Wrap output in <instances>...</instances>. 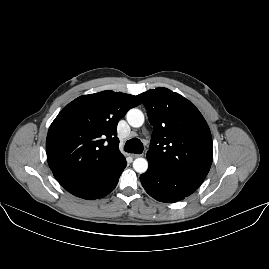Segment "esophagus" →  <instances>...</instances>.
Masks as SVG:
<instances>
[{"label": "esophagus", "mask_w": 269, "mask_h": 269, "mask_svg": "<svg viewBox=\"0 0 269 269\" xmlns=\"http://www.w3.org/2000/svg\"><path fill=\"white\" fill-rule=\"evenodd\" d=\"M132 158H137V157H139V156H141L140 154H131L130 155Z\"/></svg>", "instance_id": "obj_1"}]
</instances>
